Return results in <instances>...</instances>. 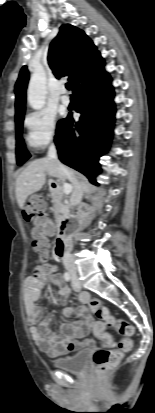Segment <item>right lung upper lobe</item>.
Here are the masks:
<instances>
[{"label":"right lung upper lobe","mask_w":155,"mask_h":413,"mask_svg":"<svg viewBox=\"0 0 155 413\" xmlns=\"http://www.w3.org/2000/svg\"><path fill=\"white\" fill-rule=\"evenodd\" d=\"M48 63L56 78L69 76L74 92L82 83L103 72L105 64L87 35L70 24L62 25L51 42ZM28 79L29 73L24 66L15 84V122L24 118Z\"/></svg>","instance_id":"obj_1"}]
</instances>
